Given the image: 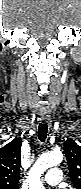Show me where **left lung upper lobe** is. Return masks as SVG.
Masks as SVG:
<instances>
[{"label": "left lung upper lobe", "mask_w": 81, "mask_h": 189, "mask_svg": "<svg viewBox=\"0 0 81 189\" xmlns=\"http://www.w3.org/2000/svg\"><path fill=\"white\" fill-rule=\"evenodd\" d=\"M64 151L71 181L76 189H81V146L74 140L67 139L64 143Z\"/></svg>", "instance_id": "5c2ea615"}]
</instances>
